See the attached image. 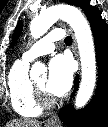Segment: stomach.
<instances>
[{
    "mask_svg": "<svg viewBox=\"0 0 108 127\" xmlns=\"http://www.w3.org/2000/svg\"><path fill=\"white\" fill-rule=\"evenodd\" d=\"M45 127H60L59 125H49V124H47Z\"/></svg>",
    "mask_w": 108,
    "mask_h": 127,
    "instance_id": "1",
    "label": "stomach"
}]
</instances>
